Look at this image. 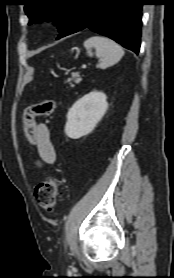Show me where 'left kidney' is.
I'll return each mask as SVG.
<instances>
[{
	"mask_svg": "<svg viewBox=\"0 0 174 278\" xmlns=\"http://www.w3.org/2000/svg\"><path fill=\"white\" fill-rule=\"evenodd\" d=\"M108 108L107 96L93 91L76 101L69 109L65 133L69 138L78 139L91 133Z\"/></svg>",
	"mask_w": 174,
	"mask_h": 278,
	"instance_id": "left-kidney-1",
	"label": "left kidney"
}]
</instances>
